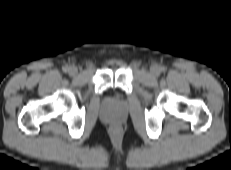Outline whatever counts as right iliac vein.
Returning <instances> with one entry per match:
<instances>
[{
	"label": "right iliac vein",
	"instance_id": "1",
	"mask_svg": "<svg viewBox=\"0 0 231 170\" xmlns=\"http://www.w3.org/2000/svg\"><path fill=\"white\" fill-rule=\"evenodd\" d=\"M68 72L70 75H76L78 73V69L76 66H71V67H69Z\"/></svg>",
	"mask_w": 231,
	"mask_h": 170
}]
</instances>
